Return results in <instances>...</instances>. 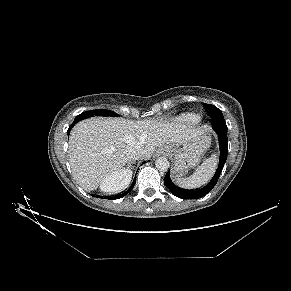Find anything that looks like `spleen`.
Returning a JSON list of instances; mask_svg holds the SVG:
<instances>
[{
	"mask_svg": "<svg viewBox=\"0 0 291 291\" xmlns=\"http://www.w3.org/2000/svg\"><path fill=\"white\" fill-rule=\"evenodd\" d=\"M217 166V156L213 154L210 158L206 159L196 171L189 177H177L176 183L179 187L185 189L200 188L205 185L213 176Z\"/></svg>",
	"mask_w": 291,
	"mask_h": 291,
	"instance_id": "1",
	"label": "spleen"
}]
</instances>
